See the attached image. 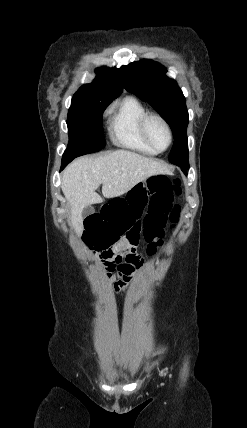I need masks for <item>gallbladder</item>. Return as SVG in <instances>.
I'll return each mask as SVG.
<instances>
[{"instance_id":"1","label":"gallbladder","mask_w":247,"mask_h":428,"mask_svg":"<svg viewBox=\"0 0 247 428\" xmlns=\"http://www.w3.org/2000/svg\"><path fill=\"white\" fill-rule=\"evenodd\" d=\"M93 213H94V208L92 206H86L83 209L82 215H83V217H87V216H89V215H91Z\"/></svg>"}]
</instances>
